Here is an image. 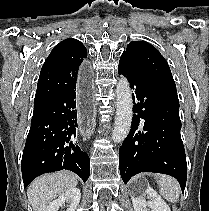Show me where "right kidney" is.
I'll return each instance as SVG.
<instances>
[{"label": "right kidney", "mask_w": 209, "mask_h": 211, "mask_svg": "<svg viewBox=\"0 0 209 211\" xmlns=\"http://www.w3.org/2000/svg\"><path fill=\"white\" fill-rule=\"evenodd\" d=\"M81 197V192L78 188H71L65 193L61 194L57 199L51 202L45 211H58L59 208L65 203L69 202L70 205L66 211H76L77 206L79 205Z\"/></svg>", "instance_id": "right-kidney-1"}]
</instances>
